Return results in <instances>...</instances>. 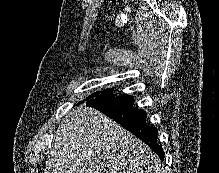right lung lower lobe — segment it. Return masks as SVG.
<instances>
[{
	"mask_svg": "<svg viewBox=\"0 0 219 173\" xmlns=\"http://www.w3.org/2000/svg\"><path fill=\"white\" fill-rule=\"evenodd\" d=\"M134 98L129 95L114 96L112 94L96 96L95 99L87 101V105L103 112L106 116L112 118L122 127L132 132L160 158H163L164 152L157 143V129L145 123L146 113L143 110H137L133 107Z\"/></svg>",
	"mask_w": 219,
	"mask_h": 173,
	"instance_id": "1",
	"label": "right lung lower lobe"
}]
</instances>
